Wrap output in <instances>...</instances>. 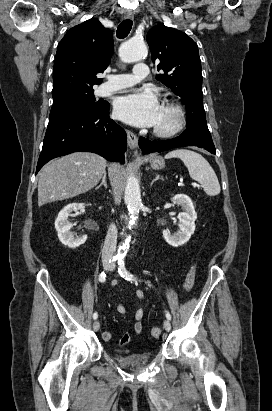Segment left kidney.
Instances as JSON below:
<instances>
[{
	"label": "left kidney",
	"instance_id": "left-kidney-1",
	"mask_svg": "<svg viewBox=\"0 0 272 411\" xmlns=\"http://www.w3.org/2000/svg\"><path fill=\"white\" fill-rule=\"evenodd\" d=\"M171 200L175 204L182 206L184 210V212H180L178 215L180 231L171 234L170 231L164 230L163 237L169 245L178 247L187 243L194 233L197 213L195 212L192 200L187 195L177 194L173 196Z\"/></svg>",
	"mask_w": 272,
	"mask_h": 411
}]
</instances>
